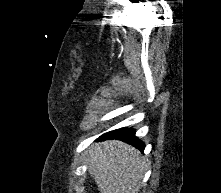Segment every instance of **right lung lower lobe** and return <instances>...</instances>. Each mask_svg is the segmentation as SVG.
<instances>
[{
  "mask_svg": "<svg viewBox=\"0 0 221 193\" xmlns=\"http://www.w3.org/2000/svg\"><path fill=\"white\" fill-rule=\"evenodd\" d=\"M100 139L101 140H105V139L122 140L135 146L141 151H143L145 148V144L135 136V131L132 129L121 128V129H117L114 131H110L102 135Z\"/></svg>",
  "mask_w": 221,
  "mask_h": 193,
  "instance_id": "98d812e1",
  "label": "right lung lower lobe"
}]
</instances>
